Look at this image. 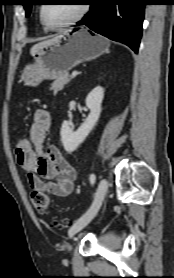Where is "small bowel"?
Instances as JSON below:
<instances>
[{"instance_id":"small-bowel-1","label":"small bowel","mask_w":174,"mask_h":278,"mask_svg":"<svg viewBox=\"0 0 174 278\" xmlns=\"http://www.w3.org/2000/svg\"><path fill=\"white\" fill-rule=\"evenodd\" d=\"M50 125V113L37 109L29 131L31 147L24 152L16 149V160L33 191L65 197L74 190L77 172L56 146H44Z\"/></svg>"}]
</instances>
